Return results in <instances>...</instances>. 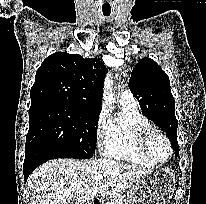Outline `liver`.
I'll list each match as a JSON object with an SVG mask.
<instances>
[{"label": "liver", "instance_id": "6515ba94", "mask_svg": "<svg viewBox=\"0 0 206 204\" xmlns=\"http://www.w3.org/2000/svg\"><path fill=\"white\" fill-rule=\"evenodd\" d=\"M150 170L110 159H57L39 166L28 179L33 192L32 204H78L89 202L98 193L103 197L120 196ZM104 180L97 182L96 176Z\"/></svg>", "mask_w": 206, "mask_h": 204}]
</instances>
